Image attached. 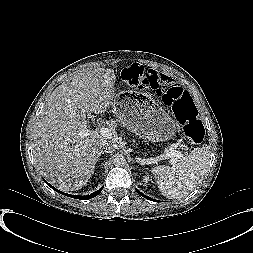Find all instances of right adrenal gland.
Instances as JSON below:
<instances>
[{
	"label": "right adrenal gland",
	"mask_w": 253,
	"mask_h": 253,
	"mask_svg": "<svg viewBox=\"0 0 253 253\" xmlns=\"http://www.w3.org/2000/svg\"><path fill=\"white\" fill-rule=\"evenodd\" d=\"M105 153H109V152H102L101 154H105ZM103 164V163H102ZM102 164H101V166H102Z\"/></svg>",
	"instance_id": "right-adrenal-gland-1"
}]
</instances>
